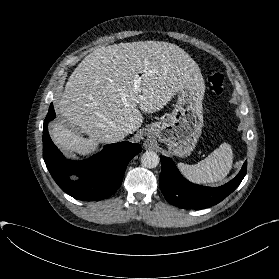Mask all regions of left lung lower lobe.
<instances>
[{
  "instance_id": "left-lung-lower-lobe-1",
  "label": "left lung lower lobe",
  "mask_w": 279,
  "mask_h": 279,
  "mask_svg": "<svg viewBox=\"0 0 279 279\" xmlns=\"http://www.w3.org/2000/svg\"><path fill=\"white\" fill-rule=\"evenodd\" d=\"M161 164V191L170 204L182 209H203L218 204L239 186L247 170L245 161L234 179L220 187L211 188L187 181L168 157L161 156Z\"/></svg>"
}]
</instances>
